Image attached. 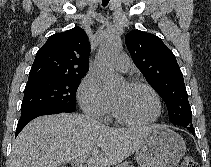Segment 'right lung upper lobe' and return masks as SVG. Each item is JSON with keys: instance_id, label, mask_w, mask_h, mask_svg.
<instances>
[{"instance_id": "right-lung-upper-lobe-1", "label": "right lung upper lobe", "mask_w": 211, "mask_h": 167, "mask_svg": "<svg viewBox=\"0 0 211 167\" xmlns=\"http://www.w3.org/2000/svg\"><path fill=\"white\" fill-rule=\"evenodd\" d=\"M89 53L90 45L82 28L56 33L36 53L28 81L84 76L89 69Z\"/></svg>"}]
</instances>
